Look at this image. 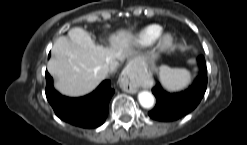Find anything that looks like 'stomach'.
I'll return each instance as SVG.
<instances>
[{"label":"stomach","instance_id":"obj_1","mask_svg":"<svg viewBox=\"0 0 247 145\" xmlns=\"http://www.w3.org/2000/svg\"><path fill=\"white\" fill-rule=\"evenodd\" d=\"M157 58V55L151 54L143 57H136L134 58L130 64L137 68L138 70L144 71L149 68Z\"/></svg>","mask_w":247,"mask_h":145}]
</instances>
